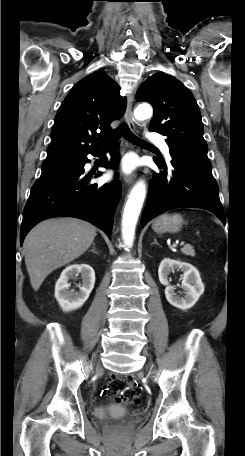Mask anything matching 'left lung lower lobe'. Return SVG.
<instances>
[{
  "label": "left lung lower lobe",
  "mask_w": 245,
  "mask_h": 456,
  "mask_svg": "<svg viewBox=\"0 0 245 456\" xmlns=\"http://www.w3.org/2000/svg\"><path fill=\"white\" fill-rule=\"evenodd\" d=\"M172 160L155 159L163 172L151 179L141 225L176 208H202L214 213L223 224L225 214L219 199V188L208 161L170 149Z\"/></svg>",
  "instance_id": "1"
}]
</instances>
